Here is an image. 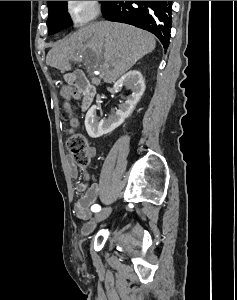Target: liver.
<instances>
[{
  "label": "liver",
  "mask_w": 237,
  "mask_h": 300,
  "mask_svg": "<svg viewBox=\"0 0 237 300\" xmlns=\"http://www.w3.org/2000/svg\"><path fill=\"white\" fill-rule=\"evenodd\" d=\"M156 47L154 35L135 29L130 25L99 21L81 27L76 33L54 43L46 57V65L59 69L60 73L71 71L69 61H82L92 51L98 61L99 71H105V83H115L129 71L141 57L152 53Z\"/></svg>",
  "instance_id": "obj_1"
}]
</instances>
